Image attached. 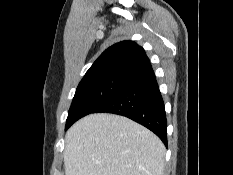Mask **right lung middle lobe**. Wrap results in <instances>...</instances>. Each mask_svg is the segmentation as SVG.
Segmentation results:
<instances>
[{
	"mask_svg": "<svg viewBox=\"0 0 233 175\" xmlns=\"http://www.w3.org/2000/svg\"><path fill=\"white\" fill-rule=\"evenodd\" d=\"M133 78L109 75L82 80L75 92L65 130L115 97Z\"/></svg>",
	"mask_w": 233,
	"mask_h": 175,
	"instance_id": "1",
	"label": "right lung middle lobe"
}]
</instances>
